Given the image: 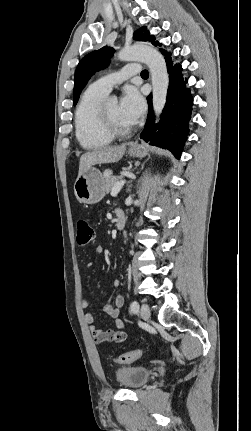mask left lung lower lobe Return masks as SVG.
Listing matches in <instances>:
<instances>
[{"instance_id":"obj_1","label":"left lung lower lobe","mask_w":251,"mask_h":431,"mask_svg":"<svg viewBox=\"0 0 251 431\" xmlns=\"http://www.w3.org/2000/svg\"><path fill=\"white\" fill-rule=\"evenodd\" d=\"M153 45L162 46L159 42H154ZM160 51L165 56L170 80L166 107L163 109L160 124L155 125L152 120V95L148 96L149 113L140 138L152 145L169 149L175 156L180 157L189 133L188 122L191 119L193 98L187 88V79L183 78L181 65L173 64L171 53L164 49Z\"/></svg>"}]
</instances>
